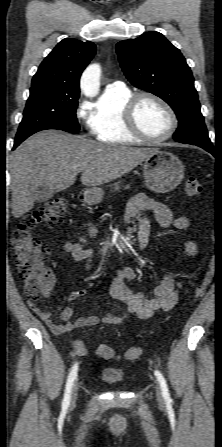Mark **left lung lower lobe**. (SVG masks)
<instances>
[{"label":"left lung lower lobe","mask_w":222,"mask_h":447,"mask_svg":"<svg viewBox=\"0 0 222 447\" xmlns=\"http://www.w3.org/2000/svg\"><path fill=\"white\" fill-rule=\"evenodd\" d=\"M197 146H200L201 148L205 149L206 151L210 152L211 154L214 155V147L213 145H207V144H198Z\"/></svg>","instance_id":"1"}]
</instances>
